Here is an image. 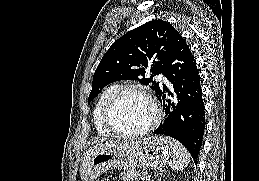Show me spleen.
I'll return each instance as SVG.
<instances>
[{"label": "spleen", "instance_id": "1", "mask_svg": "<svg viewBox=\"0 0 259 181\" xmlns=\"http://www.w3.org/2000/svg\"><path fill=\"white\" fill-rule=\"evenodd\" d=\"M166 141L172 149V160L170 162L171 169L177 171L183 170L190 162V154L177 140L166 137Z\"/></svg>", "mask_w": 259, "mask_h": 181}]
</instances>
